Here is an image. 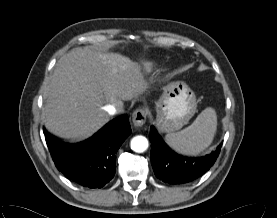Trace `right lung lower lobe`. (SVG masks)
<instances>
[{"mask_svg":"<svg viewBox=\"0 0 277 218\" xmlns=\"http://www.w3.org/2000/svg\"><path fill=\"white\" fill-rule=\"evenodd\" d=\"M128 116H120L88 140L68 144L52 137L45 129V139L58 170L74 182L89 188H101L115 173L119 147L130 135Z\"/></svg>","mask_w":277,"mask_h":218,"instance_id":"right-lung-lower-lobe-1","label":"right lung lower lobe"}]
</instances>
